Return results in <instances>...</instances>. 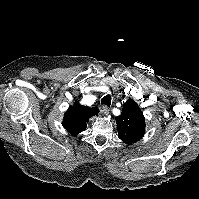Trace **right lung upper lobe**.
Segmentation results:
<instances>
[{
    "mask_svg": "<svg viewBox=\"0 0 199 199\" xmlns=\"http://www.w3.org/2000/svg\"><path fill=\"white\" fill-rule=\"evenodd\" d=\"M98 112L97 107L89 108L76 102L74 106L69 107L68 111L64 114L62 125L70 134L77 136L86 130L89 118L98 115Z\"/></svg>",
    "mask_w": 199,
    "mask_h": 199,
    "instance_id": "obj_1",
    "label": "right lung upper lobe"
}]
</instances>
